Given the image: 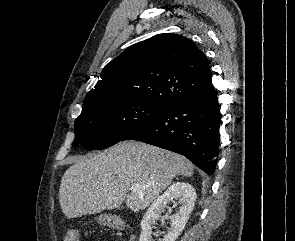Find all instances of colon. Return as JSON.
Segmentation results:
<instances>
[{
	"label": "colon",
	"instance_id": "1",
	"mask_svg": "<svg viewBox=\"0 0 295 241\" xmlns=\"http://www.w3.org/2000/svg\"><path fill=\"white\" fill-rule=\"evenodd\" d=\"M103 223L108 224L112 228L117 229V230L124 229L123 222L119 218H116V217L109 216L103 221ZM64 241H79V231L78 230L68 231Z\"/></svg>",
	"mask_w": 295,
	"mask_h": 241
}]
</instances>
